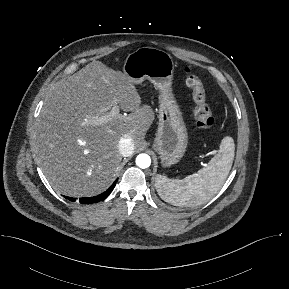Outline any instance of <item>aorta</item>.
Instances as JSON below:
<instances>
[{
	"instance_id": "1",
	"label": "aorta",
	"mask_w": 289,
	"mask_h": 289,
	"mask_svg": "<svg viewBox=\"0 0 289 289\" xmlns=\"http://www.w3.org/2000/svg\"><path fill=\"white\" fill-rule=\"evenodd\" d=\"M136 164L142 169L148 168L151 164V158L147 154H139L136 158Z\"/></svg>"
}]
</instances>
